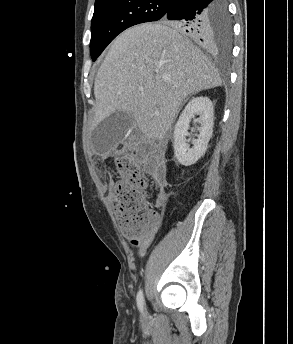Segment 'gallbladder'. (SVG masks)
I'll return each instance as SVG.
<instances>
[{"label":"gallbladder","instance_id":"obj_1","mask_svg":"<svg viewBox=\"0 0 293 344\" xmlns=\"http://www.w3.org/2000/svg\"><path fill=\"white\" fill-rule=\"evenodd\" d=\"M134 124L132 114L115 111L101 121L92 132V144L97 153L104 154L112 150Z\"/></svg>","mask_w":293,"mask_h":344}]
</instances>
